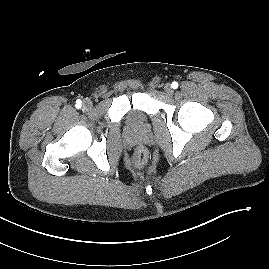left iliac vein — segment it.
Returning a JSON list of instances; mask_svg holds the SVG:
<instances>
[{
    "mask_svg": "<svg viewBox=\"0 0 269 269\" xmlns=\"http://www.w3.org/2000/svg\"><path fill=\"white\" fill-rule=\"evenodd\" d=\"M164 91H165L168 95H172V94H173L172 86H171L169 83L165 84V86H164Z\"/></svg>",
    "mask_w": 269,
    "mask_h": 269,
    "instance_id": "left-iliac-vein-1",
    "label": "left iliac vein"
}]
</instances>
